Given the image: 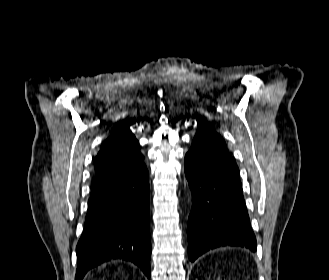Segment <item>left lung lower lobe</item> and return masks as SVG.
Wrapping results in <instances>:
<instances>
[{"label":"left lung lower lobe","mask_w":329,"mask_h":280,"mask_svg":"<svg viewBox=\"0 0 329 280\" xmlns=\"http://www.w3.org/2000/svg\"><path fill=\"white\" fill-rule=\"evenodd\" d=\"M184 170L192 191L187 230L189 259L193 262L205 252L224 246L255 252L256 239L232 157L221 156L213 174L199 172L186 162Z\"/></svg>","instance_id":"1"}]
</instances>
